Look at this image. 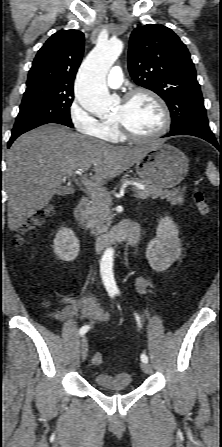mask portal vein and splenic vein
Masks as SVG:
<instances>
[{"label":"portal vein and splenic vein","instance_id":"18ae733b","mask_svg":"<svg viewBox=\"0 0 222 447\" xmlns=\"http://www.w3.org/2000/svg\"><path fill=\"white\" fill-rule=\"evenodd\" d=\"M75 173L80 174L79 171H76ZM81 183L84 185V187L92 194V196H105V195H109V193H107L105 190H103L102 188L98 187L95 183H93L92 181H89L85 178L81 179ZM128 184L134 185L136 187V189L139 190H144L145 187L139 183H130L128 182Z\"/></svg>","mask_w":222,"mask_h":447}]
</instances>
